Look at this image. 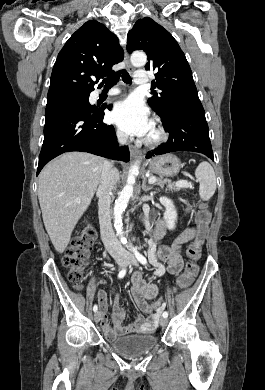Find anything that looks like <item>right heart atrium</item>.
Segmentation results:
<instances>
[{
	"label": "right heart atrium",
	"instance_id": "right-heart-atrium-1",
	"mask_svg": "<svg viewBox=\"0 0 265 390\" xmlns=\"http://www.w3.org/2000/svg\"><path fill=\"white\" fill-rule=\"evenodd\" d=\"M117 136H118V138H119L120 140H123V139H124L123 135L120 134V133H118Z\"/></svg>",
	"mask_w": 265,
	"mask_h": 390
}]
</instances>
